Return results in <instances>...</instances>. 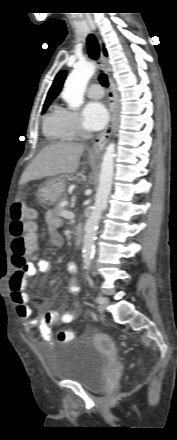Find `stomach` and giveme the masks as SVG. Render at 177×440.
Segmentation results:
<instances>
[{
    "instance_id": "1",
    "label": "stomach",
    "mask_w": 177,
    "mask_h": 440,
    "mask_svg": "<svg viewBox=\"0 0 177 440\" xmlns=\"http://www.w3.org/2000/svg\"><path fill=\"white\" fill-rule=\"evenodd\" d=\"M65 190V180L62 177L51 178L38 190L36 197L40 205L50 206L56 204Z\"/></svg>"
}]
</instances>
